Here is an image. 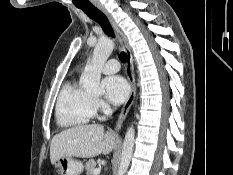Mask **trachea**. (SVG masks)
Listing matches in <instances>:
<instances>
[{"instance_id":"obj_1","label":"trachea","mask_w":233,"mask_h":175,"mask_svg":"<svg viewBox=\"0 0 233 175\" xmlns=\"http://www.w3.org/2000/svg\"><path fill=\"white\" fill-rule=\"evenodd\" d=\"M77 8L81 9L86 13L88 17L96 21L100 24L103 30L111 37H115L114 31L111 27V24L108 18L93 4H83V5H76ZM121 62L125 63L127 61V54L125 52H121L119 56Z\"/></svg>"}]
</instances>
